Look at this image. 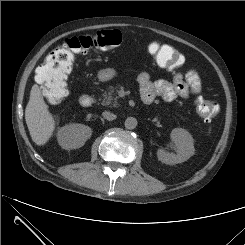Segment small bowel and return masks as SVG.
<instances>
[{"label": "small bowel", "mask_w": 245, "mask_h": 245, "mask_svg": "<svg viewBox=\"0 0 245 245\" xmlns=\"http://www.w3.org/2000/svg\"><path fill=\"white\" fill-rule=\"evenodd\" d=\"M141 97L144 103L150 104L156 97L172 102L178 98L187 99L200 93L201 79L194 69L184 73H175L172 82L158 80L152 81L147 72L138 75Z\"/></svg>", "instance_id": "obj_1"}]
</instances>
